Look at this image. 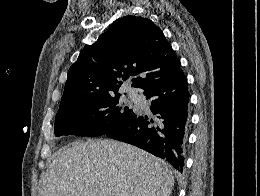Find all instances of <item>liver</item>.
I'll return each instance as SVG.
<instances>
[{
	"label": "liver",
	"instance_id": "6515ba94",
	"mask_svg": "<svg viewBox=\"0 0 260 196\" xmlns=\"http://www.w3.org/2000/svg\"><path fill=\"white\" fill-rule=\"evenodd\" d=\"M173 186L164 160L124 142L90 140L55 154L38 196H171Z\"/></svg>",
	"mask_w": 260,
	"mask_h": 196
}]
</instances>
